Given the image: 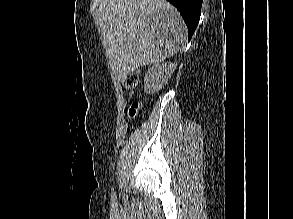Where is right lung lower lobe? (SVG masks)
<instances>
[{"label": "right lung lower lobe", "instance_id": "98d812e1", "mask_svg": "<svg viewBox=\"0 0 293 219\" xmlns=\"http://www.w3.org/2000/svg\"><path fill=\"white\" fill-rule=\"evenodd\" d=\"M182 15L189 31L188 40L191 39L200 19L202 0H168Z\"/></svg>", "mask_w": 293, "mask_h": 219}]
</instances>
